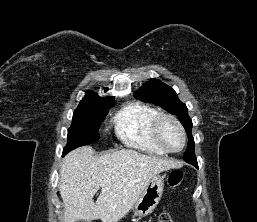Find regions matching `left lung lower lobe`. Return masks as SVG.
Segmentation results:
<instances>
[{
    "label": "left lung lower lobe",
    "mask_w": 257,
    "mask_h": 222,
    "mask_svg": "<svg viewBox=\"0 0 257 222\" xmlns=\"http://www.w3.org/2000/svg\"><path fill=\"white\" fill-rule=\"evenodd\" d=\"M194 166L198 167V165H197V164H195Z\"/></svg>",
    "instance_id": "left-lung-lower-lobe-1"
}]
</instances>
